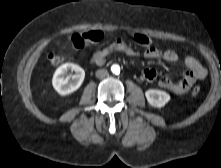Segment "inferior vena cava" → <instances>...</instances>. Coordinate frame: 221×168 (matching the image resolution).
I'll return each instance as SVG.
<instances>
[{"instance_id":"inferior-vena-cava-1","label":"inferior vena cava","mask_w":221,"mask_h":168,"mask_svg":"<svg viewBox=\"0 0 221 168\" xmlns=\"http://www.w3.org/2000/svg\"><path fill=\"white\" fill-rule=\"evenodd\" d=\"M108 76V71L106 69H99L96 71V77L97 78H105Z\"/></svg>"}]
</instances>
